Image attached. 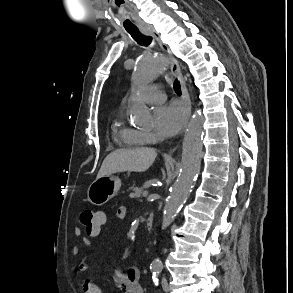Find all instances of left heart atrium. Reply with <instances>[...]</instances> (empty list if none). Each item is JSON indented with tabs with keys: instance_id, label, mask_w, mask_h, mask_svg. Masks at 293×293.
<instances>
[{
	"instance_id": "left-heart-atrium-1",
	"label": "left heart atrium",
	"mask_w": 293,
	"mask_h": 293,
	"mask_svg": "<svg viewBox=\"0 0 293 293\" xmlns=\"http://www.w3.org/2000/svg\"><path fill=\"white\" fill-rule=\"evenodd\" d=\"M186 118V110L178 102H170L155 111V128L163 137L175 135Z\"/></svg>"
}]
</instances>
